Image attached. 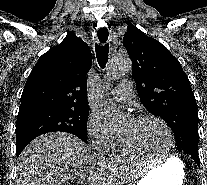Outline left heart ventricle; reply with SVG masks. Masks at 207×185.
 <instances>
[{
	"label": "left heart ventricle",
	"instance_id": "1",
	"mask_svg": "<svg viewBox=\"0 0 207 185\" xmlns=\"http://www.w3.org/2000/svg\"><path fill=\"white\" fill-rule=\"evenodd\" d=\"M136 148L151 154L163 153L168 147V137L163 126L155 120L126 123L123 131Z\"/></svg>",
	"mask_w": 207,
	"mask_h": 185
}]
</instances>
